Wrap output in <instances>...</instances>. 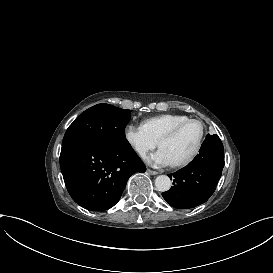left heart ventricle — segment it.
I'll return each instance as SVG.
<instances>
[{"mask_svg":"<svg viewBox=\"0 0 273 273\" xmlns=\"http://www.w3.org/2000/svg\"><path fill=\"white\" fill-rule=\"evenodd\" d=\"M200 132V125L198 123H191L175 137L163 141L161 148H164L168 152L173 163L183 161L195 149Z\"/></svg>","mask_w":273,"mask_h":273,"instance_id":"b2bd125f","label":"left heart ventricle"}]
</instances>
